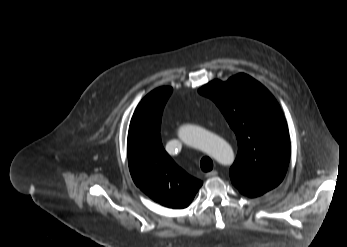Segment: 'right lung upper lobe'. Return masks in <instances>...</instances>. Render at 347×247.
<instances>
[{
    "mask_svg": "<svg viewBox=\"0 0 347 247\" xmlns=\"http://www.w3.org/2000/svg\"><path fill=\"white\" fill-rule=\"evenodd\" d=\"M171 92V87L157 88L138 104L128 131V163L135 184L155 202L186 208L202 182L181 169L162 146L161 117Z\"/></svg>",
    "mask_w": 347,
    "mask_h": 247,
    "instance_id": "right-lung-upper-lobe-1",
    "label": "right lung upper lobe"
}]
</instances>
